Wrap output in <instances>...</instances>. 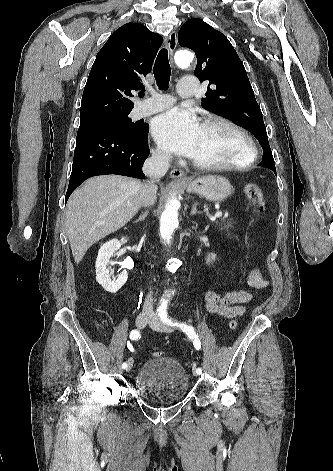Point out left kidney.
<instances>
[{
	"label": "left kidney",
	"mask_w": 333,
	"mask_h": 471,
	"mask_svg": "<svg viewBox=\"0 0 333 471\" xmlns=\"http://www.w3.org/2000/svg\"><path fill=\"white\" fill-rule=\"evenodd\" d=\"M215 259H216V254L210 253V254H208V256L206 258V262H213V261H215Z\"/></svg>",
	"instance_id": "obj_1"
}]
</instances>
